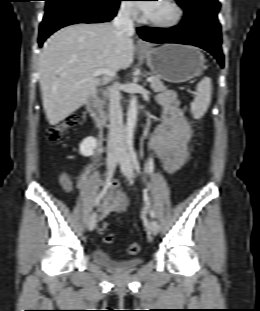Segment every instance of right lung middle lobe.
Here are the masks:
<instances>
[{
  "instance_id": "obj_1",
  "label": "right lung middle lobe",
  "mask_w": 260,
  "mask_h": 311,
  "mask_svg": "<svg viewBox=\"0 0 260 311\" xmlns=\"http://www.w3.org/2000/svg\"><path fill=\"white\" fill-rule=\"evenodd\" d=\"M103 2H107V3H112V2H115L116 0H101Z\"/></svg>"
}]
</instances>
